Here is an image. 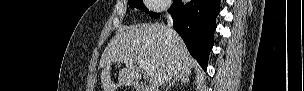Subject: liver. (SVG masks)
<instances>
[{
  "instance_id": "liver-1",
  "label": "liver",
  "mask_w": 304,
  "mask_h": 91,
  "mask_svg": "<svg viewBox=\"0 0 304 91\" xmlns=\"http://www.w3.org/2000/svg\"><path fill=\"white\" fill-rule=\"evenodd\" d=\"M125 58L129 59L124 61ZM136 60H143L149 66L153 91L158 89L166 76L173 78L181 74L189 75L196 64L180 36L176 34L175 38H170L165 25L138 24L121 28L105 48L99 63L104 91L137 84L141 79L142 68ZM116 62L125 64V68L119 72L115 84L110 71Z\"/></svg>"
}]
</instances>
